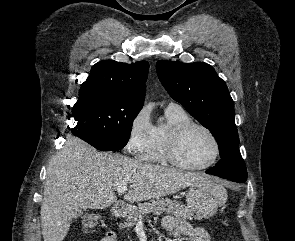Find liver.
<instances>
[{
  "label": "liver",
  "instance_id": "obj_1",
  "mask_svg": "<svg viewBox=\"0 0 295 241\" xmlns=\"http://www.w3.org/2000/svg\"><path fill=\"white\" fill-rule=\"evenodd\" d=\"M208 180L210 177L203 174L97 152L69 136L47 167L40 212L44 241H63L76 210L104 209L117 202L118 186L131 184L124 199L139 202L159 199Z\"/></svg>",
  "mask_w": 295,
  "mask_h": 241
}]
</instances>
